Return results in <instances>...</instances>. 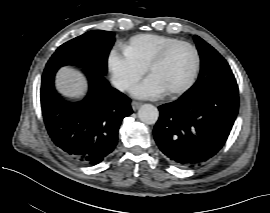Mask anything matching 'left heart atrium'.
<instances>
[{
	"instance_id": "left-heart-atrium-1",
	"label": "left heart atrium",
	"mask_w": 270,
	"mask_h": 213,
	"mask_svg": "<svg viewBox=\"0 0 270 213\" xmlns=\"http://www.w3.org/2000/svg\"><path fill=\"white\" fill-rule=\"evenodd\" d=\"M163 92V88L153 76H149L133 89V95L140 99H157Z\"/></svg>"
}]
</instances>
